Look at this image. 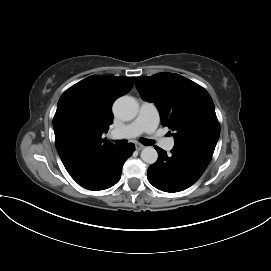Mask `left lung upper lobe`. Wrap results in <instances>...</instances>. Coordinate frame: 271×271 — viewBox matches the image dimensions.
<instances>
[{"label":"left lung upper lobe","mask_w":271,"mask_h":271,"mask_svg":"<svg viewBox=\"0 0 271 271\" xmlns=\"http://www.w3.org/2000/svg\"><path fill=\"white\" fill-rule=\"evenodd\" d=\"M136 87L145 101L157 106L163 125L173 133L176 148L213 155L220 135L214 103L195 82L172 73L136 77Z\"/></svg>","instance_id":"5c2ea615"}]
</instances>
